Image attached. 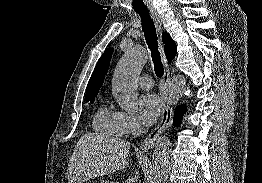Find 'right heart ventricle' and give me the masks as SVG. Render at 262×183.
Masks as SVG:
<instances>
[{"instance_id":"right-heart-ventricle-1","label":"right heart ventricle","mask_w":262,"mask_h":183,"mask_svg":"<svg viewBox=\"0 0 262 183\" xmlns=\"http://www.w3.org/2000/svg\"><path fill=\"white\" fill-rule=\"evenodd\" d=\"M93 127L96 131L113 137H121L125 134L120 112L107 105H101L97 109Z\"/></svg>"}]
</instances>
